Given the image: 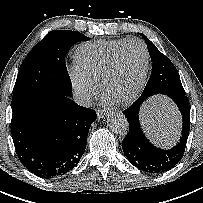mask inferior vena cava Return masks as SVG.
I'll list each match as a JSON object with an SVG mask.
<instances>
[{"label":"inferior vena cava","mask_w":203,"mask_h":203,"mask_svg":"<svg viewBox=\"0 0 203 203\" xmlns=\"http://www.w3.org/2000/svg\"><path fill=\"white\" fill-rule=\"evenodd\" d=\"M74 101L81 106L90 107L92 105L91 95L87 91L78 90L73 94Z\"/></svg>","instance_id":"inferior-vena-cava-1"}]
</instances>
